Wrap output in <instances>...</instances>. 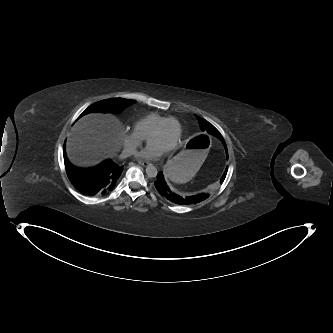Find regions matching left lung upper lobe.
<instances>
[{"label":"left lung upper lobe","instance_id":"1","mask_svg":"<svg viewBox=\"0 0 333 333\" xmlns=\"http://www.w3.org/2000/svg\"><path fill=\"white\" fill-rule=\"evenodd\" d=\"M199 122H200V125H201V127L204 131H207L209 134H211L213 136H216L219 139L222 137L221 134L219 133V131L212 124H210L208 121H206L202 118H199ZM225 177H226V172L223 174L221 182L224 181Z\"/></svg>","mask_w":333,"mask_h":333}]
</instances>
